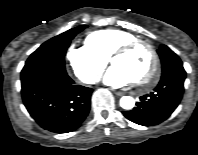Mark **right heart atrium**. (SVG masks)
<instances>
[{"instance_id": "1", "label": "right heart atrium", "mask_w": 198, "mask_h": 155, "mask_svg": "<svg viewBox=\"0 0 198 155\" xmlns=\"http://www.w3.org/2000/svg\"><path fill=\"white\" fill-rule=\"evenodd\" d=\"M66 60L73 75L87 84L95 83L107 64V59L88 45H71L67 49Z\"/></svg>"}]
</instances>
